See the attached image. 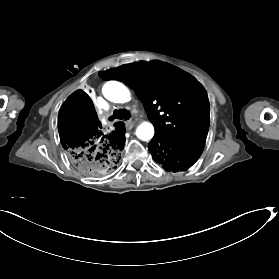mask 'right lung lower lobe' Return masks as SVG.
Returning <instances> with one entry per match:
<instances>
[{
  "label": "right lung lower lobe",
  "instance_id": "obj_1",
  "mask_svg": "<svg viewBox=\"0 0 279 279\" xmlns=\"http://www.w3.org/2000/svg\"><path fill=\"white\" fill-rule=\"evenodd\" d=\"M58 131L62 147L78 171L104 176L117 168L125 145L123 125L115 123L112 131H103L85 92L75 91L62 104Z\"/></svg>",
  "mask_w": 279,
  "mask_h": 279
}]
</instances>
